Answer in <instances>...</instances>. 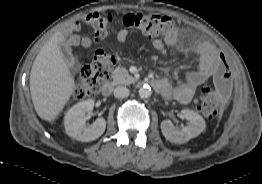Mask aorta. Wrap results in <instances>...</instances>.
Masks as SVG:
<instances>
[{
    "instance_id": "obj_1",
    "label": "aorta",
    "mask_w": 262,
    "mask_h": 184,
    "mask_svg": "<svg viewBox=\"0 0 262 184\" xmlns=\"http://www.w3.org/2000/svg\"><path fill=\"white\" fill-rule=\"evenodd\" d=\"M139 96L141 98H148L151 96V88L148 85H144L139 89Z\"/></svg>"
}]
</instances>
